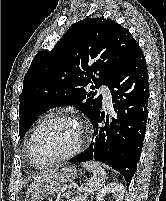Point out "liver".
Wrapping results in <instances>:
<instances>
[{"label": "liver", "mask_w": 166, "mask_h": 201, "mask_svg": "<svg viewBox=\"0 0 166 201\" xmlns=\"http://www.w3.org/2000/svg\"><path fill=\"white\" fill-rule=\"evenodd\" d=\"M54 174V171H50V172H46L43 173L41 176L36 177L34 179V182H32L30 188L27 191V195H29L31 193V191L36 188L37 186H39L40 184L44 183L50 176H52Z\"/></svg>", "instance_id": "liver-1"}]
</instances>
